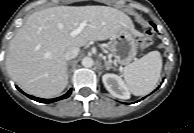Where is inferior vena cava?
I'll return each instance as SVG.
<instances>
[{"mask_svg":"<svg viewBox=\"0 0 194 133\" xmlns=\"http://www.w3.org/2000/svg\"><path fill=\"white\" fill-rule=\"evenodd\" d=\"M80 49L78 47H70L66 52H65V59L66 60H70V59H74L77 57L78 53H79Z\"/></svg>","mask_w":194,"mask_h":133,"instance_id":"602c4592","label":"inferior vena cava"}]
</instances>
